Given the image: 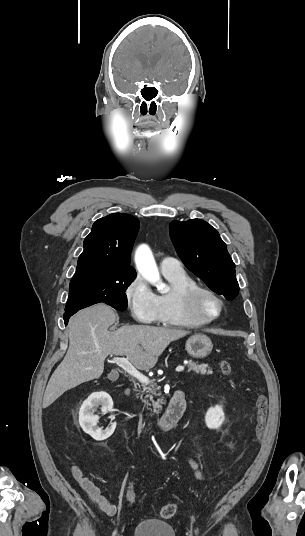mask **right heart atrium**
I'll list each match as a JSON object with an SVG mask.
<instances>
[{
    "instance_id": "right-heart-atrium-1",
    "label": "right heart atrium",
    "mask_w": 305,
    "mask_h": 536,
    "mask_svg": "<svg viewBox=\"0 0 305 536\" xmlns=\"http://www.w3.org/2000/svg\"><path fill=\"white\" fill-rule=\"evenodd\" d=\"M125 300L131 316L136 321L143 324L157 322L159 312L157 295L139 275L127 285Z\"/></svg>"
}]
</instances>
